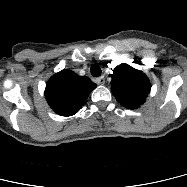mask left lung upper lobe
<instances>
[{
    "label": "left lung upper lobe",
    "mask_w": 187,
    "mask_h": 187,
    "mask_svg": "<svg viewBox=\"0 0 187 187\" xmlns=\"http://www.w3.org/2000/svg\"><path fill=\"white\" fill-rule=\"evenodd\" d=\"M111 84L117 101L128 109L140 107L150 92L147 76L128 64H121L114 69Z\"/></svg>",
    "instance_id": "1"
}]
</instances>
